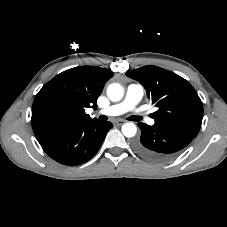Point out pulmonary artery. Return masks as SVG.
<instances>
[{
  "instance_id": "e3ab8cb5",
  "label": "pulmonary artery",
  "mask_w": 227,
  "mask_h": 227,
  "mask_svg": "<svg viewBox=\"0 0 227 227\" xmlns=\"http://www.w3.org/2000/svg\"><path fill=\"white\" fill-rule=\"evenodd\" d=\"M144 96V88L140 84L131 83L126 89L125 98L116 104H113L105 109L99 110L98 115L119 116L127 112H133L135 115L145 119L147 123L153 124L154 121L142 113L138 107Z\"/></svg>"
}]
</instances>
